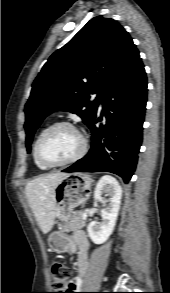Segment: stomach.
Wrapping results in <instances>:
<instances>
[{
  "mask_svg": "<svg viewBox=\"0 0 170 293\" xmlns=\"http://www.w3.org/2000/svg\"><path fill=\"white\" fill-rule=\"evenodd\" d=\"M92 178L84 173L67 174L55 188V218L70 220L76 206L84 204L90 197ZM49 242L54 251L65 252L69 240L63 232H53Z\"/></svg>",
  "mask_w": 170,
  "mask_h": 293,
  "instance_id": "1",
  "label": "stomach"
}]
</instances>
